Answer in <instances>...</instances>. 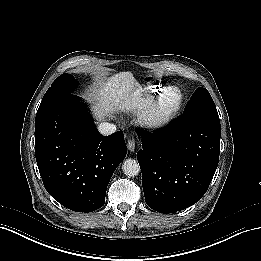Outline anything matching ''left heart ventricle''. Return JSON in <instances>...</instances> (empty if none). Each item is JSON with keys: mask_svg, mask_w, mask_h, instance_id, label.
Masks as SVG:
<instances>
[{"mask_svg": "<svg viewBox=\"0 0 261 261\" xmlns=\"http://www.w3.org/2000/svg\"><path fill=\"white\" fill-rule=\"evenodd\" d=\"M175 100V94L171 93L167 98L160 102V105L163 109H169L174 105Z\"/></svg>", "mask_w": 261, "mask_h": 261, "instance_id": "obj_1", "label": "left heart ventricle"}]
</instances>
